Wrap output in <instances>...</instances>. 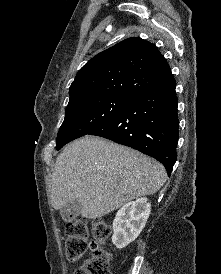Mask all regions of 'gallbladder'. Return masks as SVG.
Listing matches in <instances>:
<instances>
[{
	"mask_svg": "<svg viewBox=\"0 0 221 274\" xmlns=\"http://www.w3.org/2000/svg\"><path fill=\"white\" fill-rule=\"evenodd\" d=\"M81 210L82 205L77 200H73L68 205V210L66 211L67 213H62V215L64 218L67 217L71 220H74L80 215Z\"/></svg>",
	"mask_w": 221,
	"mask_h": 274,
	"instance_id": "gallbladder-1",
	"label": "gallbladder"
}]
</instances>
